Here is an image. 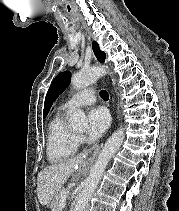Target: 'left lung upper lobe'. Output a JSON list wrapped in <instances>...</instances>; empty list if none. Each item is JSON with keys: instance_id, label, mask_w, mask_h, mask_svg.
<instances>
[{"instance_id": "1", "label": "left lung upper lobe", "mask_w": 179, "mask_h": 211, "mask_svg": "<svg viewBox=\"0 0 179 211\" xmlns=\"http://www.w3.org/2000/svg\"><path fill=\"white\" fill-rule=\"evenodd\" d=\"M92 48L95 56L100 62L105 61V53L100 51L99 45L94 41L92 43ZM71 74L68 71L58 74L52 81L50 88L46 94L45 105H44V117H46L49 112L50 107L56 98L68 87L70 83Z\"/></svg>"}]
</instances>
